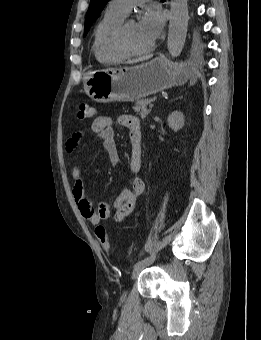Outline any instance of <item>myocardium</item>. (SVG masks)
<instances>
[{
	"label": "myocardium",
	"mask_w": 261,
	"mask_h": 340,
	"mask_svg": "<svg viewBox=\"0 0 261 340\" xmlns=\"http://www.w3.org/2000/svg\"><path fill=\"white\" fill-rule=\"evenodd\" d=\"M130 21L132 20H123L116 29L113 38L114 48L126 57L140 56L149 53L153 49V44L143 50H133L129 47L126 37V29Z\"/></svg>",
	"instance_id": "1"
}]
</instances>
